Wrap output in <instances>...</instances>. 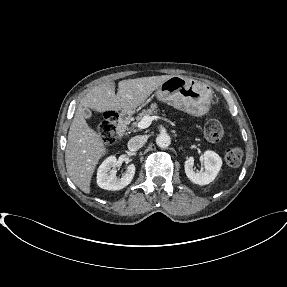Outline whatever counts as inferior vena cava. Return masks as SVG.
I'll return each mask as SVG.
<instances>
[{"label": "inferior vena cava", "mask_w": 287, "mask_h": 287, "mask_svg": "<svg viewBox=\"0 0 287 287\" xmlns=\"http://www.w3.org/2000/svg\"><path fill=\"white\" fill-rule=\"evenodd\" d=\"M145 142L146 138L144 136H135L128 141L127 146L130 151H136L140 149L145 144Z\"/></svg>", "instance_id": "obj_1"}]
</instances>
